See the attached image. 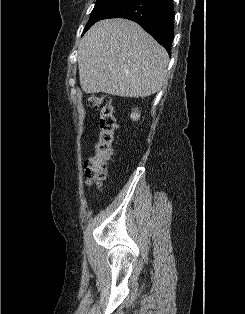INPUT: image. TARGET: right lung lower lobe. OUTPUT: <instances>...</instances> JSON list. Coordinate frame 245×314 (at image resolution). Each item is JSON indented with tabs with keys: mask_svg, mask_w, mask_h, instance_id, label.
<instances>
[{
	"mask_svg": "<svg viewBox=\"0 0 245 314\" xmlns=\"http://www.w3.org/2000/svg\"><path fill=\"white\" fill-rule=\"evenodd\" d=\"M125 18L138 23L171 53L174 37L173 0H126L103 19Z\"/></svg>",
	"mask_w": 245,
	"mask_h": 314,
	"instance_id": "1",
	"label": "right lung lower lobe"
}]
</instances>
